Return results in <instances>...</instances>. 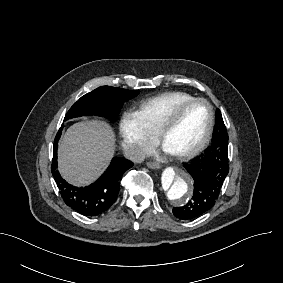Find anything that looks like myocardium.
Masks as SVG:
<instances>
[{"label":"myocardium","instance_id":"obj_1","mask_svg":"<svg viewBox=\"0 0 283 283\" xmlns=\"http://www.w3.org/2000/svg\"><path fill=\"white\" fill-rule=\"evenodd\" d=\"M194 103H203V104L206 105V107L208 109V113H209V120H208L207 127H206L200 141L192 149L175 156L177 159H179L181 161H185V160H188V159L196 156L208 144V142L211 138V134H212V130H213L214 122H215V112H214L213 106L210 104L209 101H207L204 98L194 97L192 99L179 102V103L172 106V111L175 114V117L169 121V125H166L167 124V116L164 112H162L158 117V128L156 130L155 136H156L158 144L161 146V148L164 149V136H165L166 132L173 126V124L176 121L177 116L179 114H181V112L185 108H187L189 105L194 104Z\"/></svg>","mask_w":283,"mask_h":283}]
</instances>
